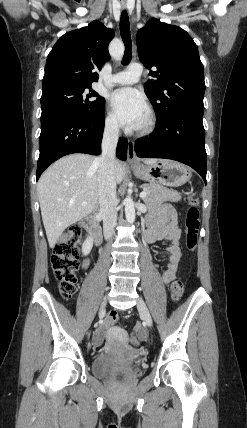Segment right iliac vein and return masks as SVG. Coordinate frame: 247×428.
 <instances>
[{"label": "right iliac vein", "mask_w": 247, "mask_h": 428, "mask_svg": "<svg viewBox=\"0 0 247 428\" xmlns=\"http://www.w3.org/2000/svg\"><path fill=\"white\" fill-rule=\"evenodd\" d=\"M106 300H107V298L105 297L104 300H103V302H102V304H101L100 310H99V314L100 315L103 314L104 311H105Z\"/></svg>", "instance_id": "63e3f726"}]
</instances>
